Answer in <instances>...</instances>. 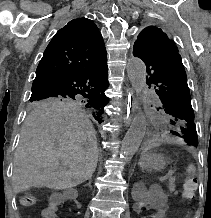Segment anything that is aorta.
Instances as JSON below:
<instances>
[{"label": "aorta", "mask_w": 211, "mask_h": 218, "mask_svg": "<svg viewBox=\"0 0 211 218\" xmlns=\"http://www.w3.org/2000/svg\"><path fill=\"white\" fill-rule=\"evenodd\" d=\"M127 74L130 83L137 93L141 96L145 88L146 68L144 63L138 58H131L127 64ZM146 130V119L142 111L133 119L122 143L120 158L128 162L138 150Z\"/></svg>", "instance_id": "762f6f07"}]
</instances>
